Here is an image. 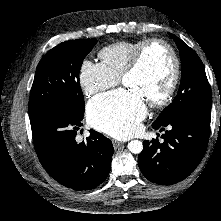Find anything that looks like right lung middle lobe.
Here are the masks:
<instances>
[{
    "instance_id": "obj_1",
    "label": "right lung middle lobe",
    "mask_w": 221,
    "mask_h": 221,
    "mask_svg": "<svg viewBox=\"0 0 221 221\" xmlns=\"http://www.w3.org/2000/svg\"><path fill=\"white\" fill-rule=\"evenodd\" d=\"M96 42V39L66 41L46 53L36 69L29 98V117L58 107L83 116L79 72Z\"/></svg>"
}]
</instances>
